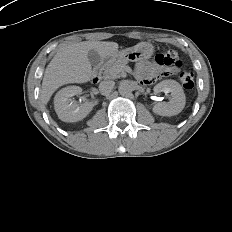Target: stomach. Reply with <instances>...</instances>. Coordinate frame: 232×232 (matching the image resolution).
Masks as SVG:
<instances>
[{"label":"stomach","instance_id":"stomach-1","mask_svg":"<svg viewBox=\"0 0 232 232\" xmlns=\"http://www.w3.org/2000/svg\"><path fill=\"white\" fill-rule=\"evenodd\" d=\"M154 53V46L150 43H139L132 48L120 51L115 56L110 57L111 60L119 58L126 61H137L141 59H149Z\"/></svg>","mask_w":232,"mask_h":232}]
</instances>
